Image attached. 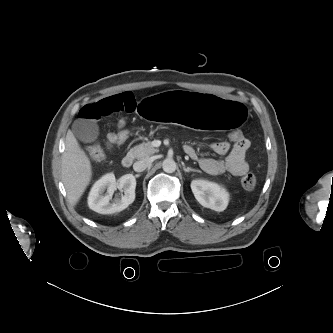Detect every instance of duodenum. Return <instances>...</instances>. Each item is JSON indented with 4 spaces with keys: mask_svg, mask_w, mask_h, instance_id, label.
Listing matches in <instances>:
<instances>
[{
    "mask_svg": "<svg viewBox=\"0 0 333 333\" xmlns=\"http://www.w3.org/2000/svg\"><path fill=\"white\" fill-rule=\"evenodd\" d=\"M121 163L123 167L129 168L133 164V156L129 154L124 156Z\"/></svg>",
    "mask_w": 333,
    "mask_h": 333,
    "instance_id": "obj_1",
    "label": "duodenum"
}]
</instances>
